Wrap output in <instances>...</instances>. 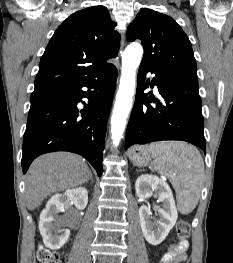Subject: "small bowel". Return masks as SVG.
Returning a JSON list of instances; mask_svg holds the SVG:
<instances>
[{
  "label": "small bowel",
  "instance_id": "obj_1",
  "mask_svg": "<svg viewBox=\"0 0 233 263\" xmlns=\"http://www.w3.org/2000/svg\"><path fill=\"white\" fill-rule=\"evenodd\" d=\"M189 243L187 240H182L177 244H172L168 247L167 252L163 255L160 263H181L187 258V250Z\"/></svg>",
  "mask_w": 233,
  "mask_h": 263
}]
</instances>
